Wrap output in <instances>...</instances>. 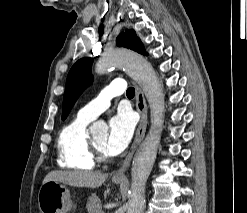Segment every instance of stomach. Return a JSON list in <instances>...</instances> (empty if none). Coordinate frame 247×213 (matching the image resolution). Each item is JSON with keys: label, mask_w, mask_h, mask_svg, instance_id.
I'll use <instances>...</instances> for the list:
<instances>
[{"label": "stomach", "mask_w": 247, "mask_h": 213, "mask_svg": "<svg viewBox=\"0 0 247 213\" xmlns=\"http://www.w3.org/2000/svg\"><path fill=\"white\" fill-rule=\"evenodd\" d=\"M115 184L121 180L113 179ZM38 206L41 213H67L76 206L70 199L68 188L55 181H48L42 184L38 193Z\"/></svg>", "instance_id": "obj_1"}]
</instances>
